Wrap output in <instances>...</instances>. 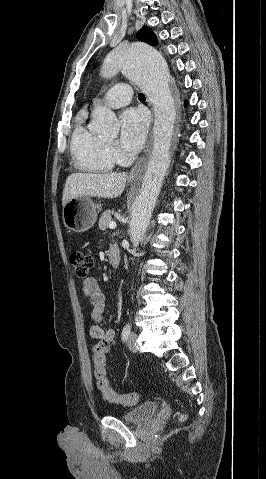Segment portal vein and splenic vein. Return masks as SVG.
<instances>
[{"label":"portal vein and splenic vein","mask_w":266,"mask_h":479,"mask_svg":"<svg viewBox=\"0 0 266 479\" xmlns=\"http://www.w3.org/2000/svg\"><path fill=\"white\" fill-rule=\"evenodd\" d=\"M108 226H109L110 229H115L116 228V223L115 222H110Z\"/></svg>","instance_id":"portal-vein-and-splenic-vein-1"}]
</instances>
